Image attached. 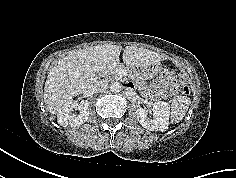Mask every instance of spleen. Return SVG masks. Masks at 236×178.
Instances as JSON below:
<instances>
[{
    "label": "spleen",
    "mask_w": 236,
    "mask_h": 178,
    "mask_svg": "<svg viewBox=\"0 0 236 178\" xmlns=\"http://www.w3.org/2000/svg\"><path fill=\"white\" fill-rule=\"evenodd\" d=\"M191 104L190 98L186 96H177L171 100V123H179Z\"/></svg>",
    "instance_id": "3e777b00"
}]
</instances>
